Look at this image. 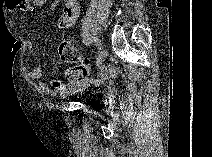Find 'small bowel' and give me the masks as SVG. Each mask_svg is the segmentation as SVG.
Wrapping results in <instances>:
<instances>
[{
    "mask_svg": "<svg viewBox=\"0 0 212 157\" xmlns=\"http://www.w3.org/2000/svg\"><path fill=\"white\" fill-rule=\"evenodd\" d=\"M34 4L37 1L33 2ZM5 6L10 11L16 10H29L32 7V3L28 0H6ZM79 4L75 0H67L65 1L62 9L61 16L58 21V25L62 29H68L72 27L79 15ZM26 47L28 50L33 48V43L28 41L26 43ZM75 69H69L65 72L66 79H58L52 78L51 85L48 86L45 83L39 82V85L45 89L48 93L55 95V96H64L67 95L74 90L81 88L85 84V79L81 80L76 78L74 75ZM27 75L30 79L40 81L44 75L43 68L37 66L30 69L27 72Z\"/></svg>",
    "mask_w": 212,
    "mask_h": 157,
    "instance_id": "c3829d8e",
    "label": "small bowel"
}]
</instances>
